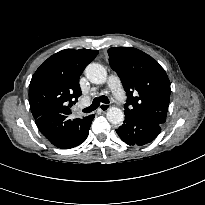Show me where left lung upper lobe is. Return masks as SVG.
Segmentation results:
<instances>
[{"mask_svg":"<svg viewBox=\"0 0 205 205\" xmlns=\"http://www.w3.org/2000/svg\"><path fill=\"white\" fill-rule=\"evenodd\" d=\"M108 54L110 66L120 77L127 93L124 113L163 124L171 93L170 81L164 69L152 57L136 48H110Z\"/></svg>","mask_w":205,"mask_h":205,"instance_id":"left-lung-upper-lobe-1","label":"left lung upper lobe"}]
</instances>
